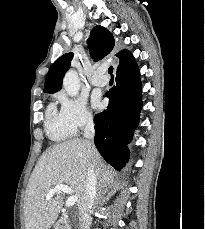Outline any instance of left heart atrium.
Listing matches in <instances>:
<instances>
[{"label": "left heart atrium", "mask_w": 205, "mask_h": 229, "mask_svg": "<svg viewBox=\"0 0 205 229\" xmlns=\"http://www.w3.org/2000/svg\"><path fill=\"white\" fill-rule=\"evenodd\" d=\"M93 105L95 107H99L100 106V102H99V99L98 98H96V97L93 98Z\"/></svg>", "instance_id": "left-heart-atrium-1"}]
</instances>
